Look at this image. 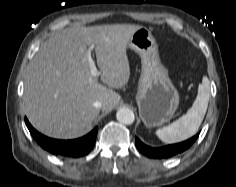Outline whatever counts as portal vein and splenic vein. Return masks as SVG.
Masks as SVG:
<instances>
[{
    "label": "portal vein and splenic vein",
    "instance_id": "18ae733b",
    "mask_svg": "<svg viewBox=\"0 0 236 187\" xmlns=\"http://www.w3.org/2000/svg\"><path fill=\"white\" fill-rule=\"evenodd\" d=\"M91 50H92V47L87 50V61L89 64L91 76L95 78V77L100 76L101 73L97 70L96 65L91 57Z\"/></svg>",
    "mask_w": 236,
    "mask_h": 187
}]
</instances>
